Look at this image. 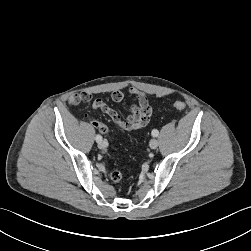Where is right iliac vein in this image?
<instances>
[{
  "instance_id": "63e3f726",
  "label": "right iliac vein",
  "mask_w": 251,
  "mask_h": 251,
  "mask_svg": "<svg viewBox=\"0 0 251 251\" xmlns=\"http://www.w3.org/2000/svg\"><path fill=\"white\" fill-rule=\"evenodd\" d=\"M98 147L100 149H106L108 147V142L106 140H101L99 143H98Z\"/></svg>"
}]
</instances>
